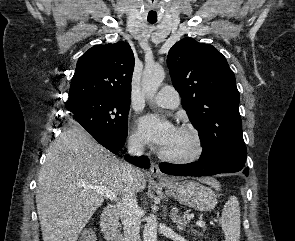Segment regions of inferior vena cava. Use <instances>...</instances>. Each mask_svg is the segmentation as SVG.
Returning a JSON list of instances; mask_svg holds the SVG:
<instances>
[{
  "label": "inferior vena cava",
  "instance_id": "obj_1",
  "mask_svg": "<svg viewBox=\"0 0 295 241\" xmlns=\"http://www.w3.org/2000/svg\"><path fill=\"white\" fill-rule=\"evenodd\" d=\"M128 153L132 156H141L144 153V142L138 137H130L127 146ZM122 180L127 190L122 197V202L117 204L119 215L123 224L125 241H140V209L137 204L135 191L132 188L138 170L129 163L121 166Z\"/></svg>",
  "mask_w": 295,
  "mask_h": 241
}]
</instances>
